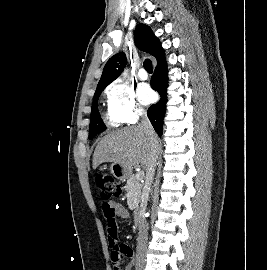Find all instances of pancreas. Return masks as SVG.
<instances>
[{
    "label": "pancreas",
    "instance_id": "pancreas-1",
    "mask_svg": "<svg viewBox=\"0 0 267 270\" xmlns=\"http://www.w3.org/2000/svg\"><path fill=\"white\" fill-rule=\"evenodd\" d=\"M142 183L141 180L137 179L136 175H130L127 178V184L125 190L127 192V202L128 203H138L141 196Z\"/></svg>",
    "mask_w": 267,
    "mask_h": 270
}]
</instances>
